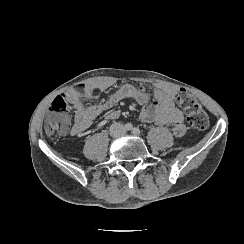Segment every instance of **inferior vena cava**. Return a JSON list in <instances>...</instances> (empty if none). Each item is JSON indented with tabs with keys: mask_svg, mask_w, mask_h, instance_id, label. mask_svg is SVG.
I'll return each mask as SVG.
<instances>
[{
	"mask_svg": "<svg viewBox=\"0 0 244 244\" xmlns=\"http://www.w3.org/2000/svg\"><path fill=\"white\" fill-rule=\"evenodd\" d=\"M125 129H124V125L121 123H113L110 126V134L111 136L114 137H119L124 133Z\"/></svg>",
	"mask_w": 244,
	"mask_h": 244,
	"instance_id": "inferior-vena-cava-1",
	"label": "inferior vena cava"
}]
</instances>
